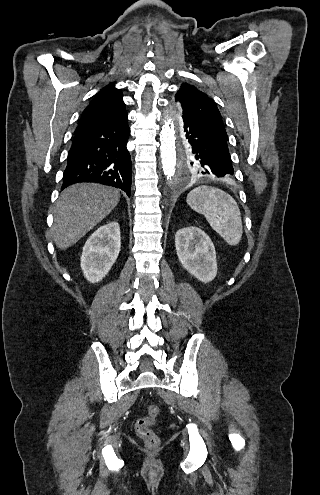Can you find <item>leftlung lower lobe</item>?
Segmentation results:
<instances>
[{"mask_svg":"<svg viewBox=\"0 0 320 495\" xmlns=\"http://www.w3.org/2000/svg\"><path fill=\"white\" fill-rule=\"evenodd\" d=\"M180 125L187 143L200 151L199 160L204 174L212 178L233 175L234 170L227 141L190 116L182 115Z\"/></svg>","mask_w":320,"mask_h":495,"instance_id":"left-lung-lower-lobe-1","label":"left lung lower lobe"}]
</instances>
